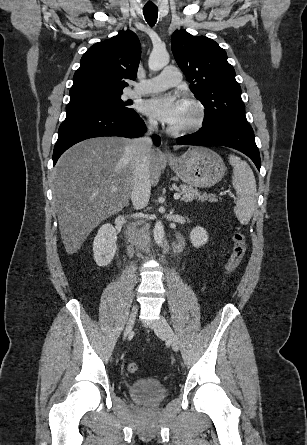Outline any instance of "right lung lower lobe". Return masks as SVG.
I'll use <instances>...</instances> for the list:
<instances>
[{
	"mask_svg": "<svg viewBox=\"0 0 307 445\" xmlns=\"http://www.w3.org/2000/svg\"><path fill=\"white\" fill-rule=\"evenodd\" d=\"M145 130L146 126L137 113L100 109L69 112L58 131L53 165L69 147L85 139L99 136L131 138L140 136ZM153 141L157 146L160 145L157 135L153 136Z\"/></svg>",
	"mask_w": 307,
	"mask_h": 445,
	"instance_id": "1",
	"label": "right lung lower lobe"
}]
</instances>
